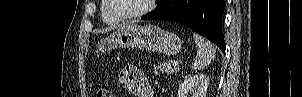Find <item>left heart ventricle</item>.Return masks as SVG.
<instances>
[{"label":"left heart ventricle","instance_id":"left-heart-ventricle-1","mask_svg":"<svg viewBox=\"0 0 302 97\" xmlns=\"http://www.w3.org/2000/svg\"><path fill=\"white\" fill-rule=\"evenodd\" d=\"M146 0H113L115 10L121 15H130L140 11Z\"/></svg>","mask_w":302,"mask_h":97}]
</instances>
